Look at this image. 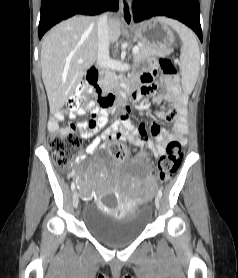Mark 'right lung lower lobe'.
<instances>
[{
    "mask_svg": "<svg viewBox=\"0 0 238 278\" xmlns=\"http://www.w3.org/2000/svg\"><path fill=\"white\" fill-rule=\"evenodd\" d=\"M118 10V0H42L39 39L58 22L75 14L96 15Z\"/></svg>",
    "mask_w": 238,
    "mask_h": 278,
    "instance_id": "98d812e1",
    "label": "right lung lower lobe"
}]
</instances>
